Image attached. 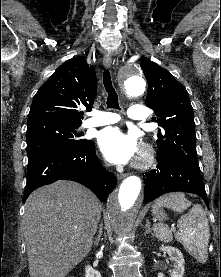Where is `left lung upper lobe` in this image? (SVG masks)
I'll list each match as a JSON object with an SVG mask.
<instances>
[{"instance_id": "obj_1", "label": "left lung upper lobe", "mask_w": 221, "mask_h": 277, "mask_svg": "<svg viewBox=\"0 0 221 277\" xmlns=\"http://www.w3.org/2000/svg\"><path fill=\"white\" fill-rule=\"evenodd\" d=\"M148 82L146 105L161 127L157 131L158 159L176 158L199 168L193 108L185 87L151 60L141 62Z\"/></svg>"}]
</instances>
